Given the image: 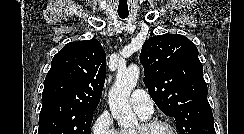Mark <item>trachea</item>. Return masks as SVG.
<instances>
[{
    "label": "trachea",
    "instance_id": "3493384b",
    "mask_svg": "<svg viewBox=\"0 0 244 134\" xmlns=\"http://www.w3.org/2000/svg\"><path fill=\"white\" fill-rule=\"evenodd\" d=\"M119 17L125 19L128 17V13H118Z\"/></svg>",
    "mask_w": 244,
    "mask_h": 134
}]
</instances>
